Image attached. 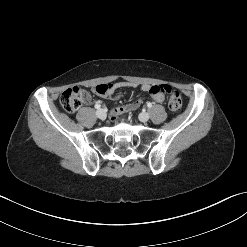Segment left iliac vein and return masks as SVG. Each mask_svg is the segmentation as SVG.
I'll list each match as a JSON object with an SVG mask.
<instances>
[{
    "label": "left iliac vein",
    "instance_id": "obj_1",
    "mask_svg": "<svg viewBox=\"0 0 247 247\" xmlns=\"http://www.w3.org/2000/svg\"><path fill=\"white\" fill-rule=\"evenodd\" d=\"M149 118H150L149 114L148 113H145V112L144 113H141L139 115V120L141 122H147L149 120Z\"/></svg>",
    "mask_w": 247,
    "mask_h": 247
}]
</instances>
